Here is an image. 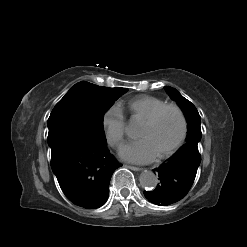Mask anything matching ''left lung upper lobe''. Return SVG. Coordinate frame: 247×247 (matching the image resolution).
Returning a JSON list of instances; mask_svg holds the SVG:
<instances>
[{
    "label": "left lung upper lobe",
    "instance_id": "1",
    "mask_svg": "<svg viewBox=\"0 0 247 247\" xmlns=\"http://www.w3.org/2000/svg\"><path fill=\"white\" fill-rule=\"evenodd\" d=\"M164 88L169 96L181 107L186 116L188 122V134L186 141L198 144L201 140L202 133L200 128L201 118L196 107L184 98L176 89L169 86H165Z\"/></svg>",
    "mask_w": 247,
    "mask_h": 247
}]
</instances>
